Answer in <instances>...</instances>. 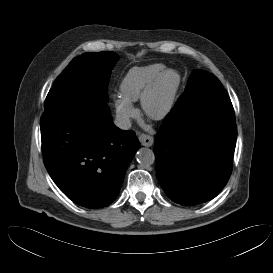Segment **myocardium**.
Wrapping results in <instances>:
<instances>
[{
    "label": "myocardium",
    "instance_id": "1",
    "mask_svg": "<svg viewBox=\"0 0 273 273\" xmlns=\"http://www.w3.org/2000/svg\"><path fill=\"white\" fill-rule=\"evenodd\" d=\"M169 80V96L167 100L161 105L158 112H154L150 104L155 99L160 87L164 81ZM180 85V77L173 71H164L157 75L153 82L145 89L141 97V107L144 114L152 120H160L166 117L172 110L178 88Z\"/></svg>",
    "mask_w": 273,
    "mask_h": 273
}]
</instances>
